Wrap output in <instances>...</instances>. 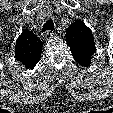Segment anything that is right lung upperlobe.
Wrapping results in <instances>:
<instances>
[{"label": "right lung upper lobe", "instance_id": "1", "mask_svg": "<svg viewBox=\"0 0 113 113\" xmlns=\"http://www.w3.org/2000/svg\"><path fill=\"white\" fill-rule=\"evenodd\" d=\"M43 42L31 31L25 29L16 41L15 58L26 68L33 69L41 58Z\"/></svg>", "mask_w": 113, "mask_h": 113}]
</instances>
